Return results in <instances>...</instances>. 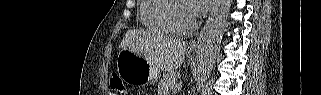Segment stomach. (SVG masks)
Instances as JSON below:
<instances>
[{
  "label": "stomach",
  "instance_id": "stomach-1",
  "mask_svg": "<svg viewBox=\"0 0 321 95\" xmlns=\"http://www.w3.org/2000/svg\"><path fill=\"white\" fill-rule=\"evenodd\" d=\"M197 49H191L196 52ZM117 72L128 84L146 85L153 83L160 76L159 68L143 56L128 49H121L117 57Z\"/></svg>",
  "mask_w": 321,
  "mask_h": 95
}]
</instances>
